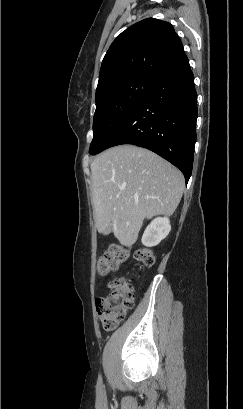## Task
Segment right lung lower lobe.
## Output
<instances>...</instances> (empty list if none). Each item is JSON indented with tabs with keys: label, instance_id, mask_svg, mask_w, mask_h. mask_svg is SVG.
I'll use <instances>...</instances> for the list:
<instances>
[{
	"label": "right lung lower lobe",
	"instance_id": "right-lung-lower-lobe-1",
	"mask_svg": "<svg viewBox=\"0 0 243 409\" xmlns=\"http://www.w3.org/2000/svg\"><path fill=\"white\" fill-rule=\"evenodd\" d=\"M197 93L187 56L163 75L103 150L121 144L147 148L178 167L188 182L196 142ZM102 150V151H103Z\"/></svg>",
	"mask_w": 243,
	"mask_h": 409
}]
</instances>
